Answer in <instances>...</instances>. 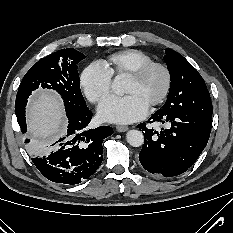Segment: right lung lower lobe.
I'll list each match as a JSON object with an SVG mask.
<instances>
[{
  "label": "right lung lower lobe",
  "instance_id": "98d812e1",
  "mask_svg": "<svg viewBox=\"0 0 233 233\" xmlns=\"http://www.w3.org/2000/svg\"><path fill=\"white\" fill-rule=\"evenodd\" d=\"M66 115L67 131L57 139L52 149L39 152L28 145V150L36 156L32 161L47 179L74 185L88 179L98 169L103 158L102 142L112 135L113 129L110 126L87 129L92 118L88 107L66 110ZM16 116L20 127L26 126L25 115ZM29 142V139L25 140L26 144Z\"/></svg>",
  "mask_w": 233,
  "mask_h": 233
}]
</instances>
